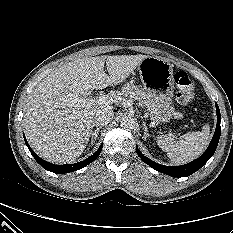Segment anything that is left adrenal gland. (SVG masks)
<instances>
[{
    "label": "left adrenal gland",
    "instance_id": "a2214340",
    "mask_svg": "<svg viewBox=\"0 0 233 233\" xmlns=\"http://www.w3.org/2000/svg\"><path fill=\"white\" fill-rule=\"evenodd\" d=\"M143 129H144V139H146L147 137H149V133H148V128L146 126V123L143 121Z\"/></svg>",
    "mask_w": 233,
    "mask_h": 233
}]
</instances>
